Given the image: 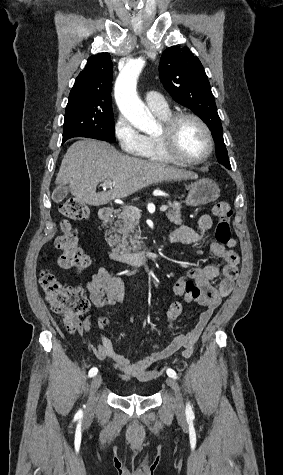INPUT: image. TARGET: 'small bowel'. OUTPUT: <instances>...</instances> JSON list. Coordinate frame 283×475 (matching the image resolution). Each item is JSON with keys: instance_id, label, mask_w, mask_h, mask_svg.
<instances>
[{"instance_id": "small-bowel-1", "label": "small bowel", "mask_w": 283, "mask_h": 475, "mask_svg": "<svg viewBox=\"0 0 283 475\" xmlns=\"http://www.w3.org/2000/svg\"><path fill=\"white\" fill-rule=\"evenodd\" d=\"M211 226V217L209 215H201L195 227L182 226L170 235L169 240L172 243L198 245L205 239ZM234 244V241L228 245L215 241L211 242V253L216 258L224 261V265L220 267L216 263H210L203 268L192 267L185 276L180 277L175 282L173 291L178 296L181 295L183 279H200V282L203 284V295L199 296L197 303L203 306L204 309L200 312L194 328L188 334H177L173 341L164 348H161L158 343L153 342L154 351L138 361H131L124 355L117 353L114 350L112 341L107 336L101 334L99 343L92 346L95 357L102 361H108L118 372V377L121 380L137 379L142 382L157 378L162 373L163 366L158 365L152 370H148V368L169 358L179 350H182V357H189L193 353L203 330L214 312L234 289L240 263L239 255L231 250ZM220 275L222 278L219 284L213 286L212 283ZM87 289L90 294L91 303L96 308L124 302V281L108 268H100L87 285ZM168 315L169 311H167V317ZM90 326L91 316L88 315L79 329L80 334L88 331Z\"/></svg>"}]
</instances>
